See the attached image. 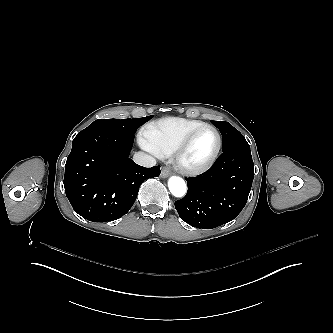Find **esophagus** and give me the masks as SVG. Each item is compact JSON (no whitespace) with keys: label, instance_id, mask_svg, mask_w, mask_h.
<instances>
[{"label":"esophagus","instance_id":"esophagus-1","mask_svg":"<svg viewBox=\"0 0 333 333\" xmlns=\"http://www.w3.org/2000/svg\"><path fill=\"white\" fill-rule=\"evenodd\" d=\"M171 172L170 170L167 168V167H163L162 170H161V175L160 177L161 178H168L170 176Z\"/></svg>","mask_w":333,"mask_h":333}]
</instances>
